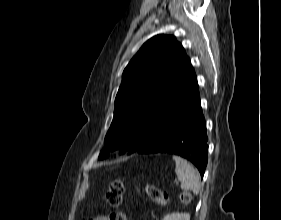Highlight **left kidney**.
<instances>
[{
  "label": "left kidney",
  "mask_w": 281,
  "mask_h": 220,
  "mask_svg": "<svg viewBox=\"0 0 281 220\" xmlns=\"http://www.w3.org/2000/svg\"><path fill=\"white\" fill-rule=\"evenodd\" d=\"M162 220H190L189 213H171L167 214Z\"/></svg>",
  "instance_id": "left-kidney-1"
}]
</instances>
